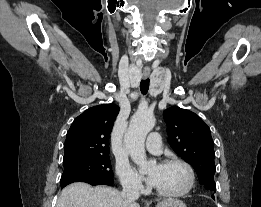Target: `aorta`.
<instances>
[{
  "label": "aorta",
  "instance_id": "aorta-1",
  "mask_svg": "<svg viewBox=\"0 0 261 207\" xmlns=\"http://www.w3.org/2000/svg\"><path fill=\"white\" fill-rule=\"evenodd\" d=\"M155 126V117L150 112H136L124 136V144L129 151L131 159L145 171L153 164L147 160L145 152V139Z\"/></svg>",
  "mask_w": 261,
  "mask_h": 207
}]
</instances>
